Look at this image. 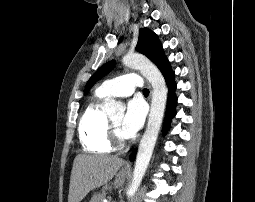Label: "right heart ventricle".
Listing matches in <instances>:
<instances>
[{"mask_svg":"<svg viewBox=\"0 0 255 202\" xmlns=\"http://www.w3.org/2000/svg\"><path fill=\"white\" fill-rule=\"evenodd\" d=\"M103 97L96 98L83 112L79 123V137L83 148L90 153H109L112 144L108 137V118L100 107Z\"/></svg>","mask_w":255,"mask_h":202,"instance_id":"obj_1","label":"right heart ventricle"}]
</instances>
